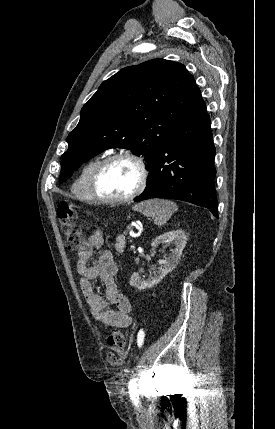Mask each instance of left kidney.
Returning a JSON list of instances; mask_svg holds the SVG:
<instances>
[{"label":"left kidney","instance_id":"1","mask_svg":"<svg viewBox=\"0 0 275 429\" xmlns=\"http://www.w3.org/2000/svg\"><path fill=\"white\" fill-rule=\"evenodd\" d=\"M186 241V234L182 230H172L156 237L151 243L152 247H157L161 243H172L175 245V248L171 250V253L165 260L158 261L162 267L158 271L153 272V275L148 279H143L138 273H133L130 279V285L138 290H144L157 285L178 265Z\"/></svg>","mask_w":275,"mask_h":429}]
</instances>
